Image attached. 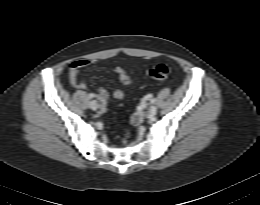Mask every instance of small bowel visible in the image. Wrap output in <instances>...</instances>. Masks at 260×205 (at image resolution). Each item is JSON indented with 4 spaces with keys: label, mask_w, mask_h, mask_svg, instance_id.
Masks as SVG:
<instances>
[{
    "label": "small bowel",
    "mask_w": 260,
    "mask_h": 205,
    "mask_svg": "<svg viewBox=\"0 0 260 205\" xmlns=\"http://www.w3.org/2000/svg\"><path fill=\"white\" fill-rule=\"evenodd\" d=\"M93 64L94 62L87 59H79L70 64L68 70V80L73 88L77 90H85L87 88L86 83L81 78L80 73L82 70L91 67ZM114 72L122 85L130 86L132 84L131 77L123 68L117 67ZM94 95L102 104L107 103L109 94L105 88H99ZM113 96L115 99L121 100L125 97V91L121 88H115L113 91Z\"/></svg>",
    "instance_id": "obj_1"
}]
</instances>
